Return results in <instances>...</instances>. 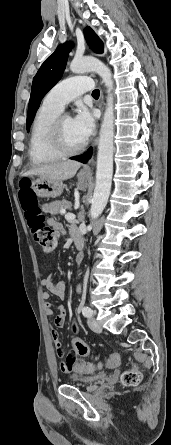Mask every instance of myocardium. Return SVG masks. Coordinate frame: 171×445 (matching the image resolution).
Here are the masks:
<instances>
[{"label":"myocardium","mask_w":171,"mask_h":445,"mask_svg":"<svg viewBox=\"0 0 171 445\" xmlns=\"http://www.w3.org/2000/svg\"><path fill=\"white\" fill-rule=\"evenodd\" d=\"M65 115H58L51 123L48 131V143L50 148L61 156H70L81 152L87 145V140H84L76 147H69L65 144L62 134V124Z\"/></svg>","instance_id":"f54148a6"}]
</instances>
